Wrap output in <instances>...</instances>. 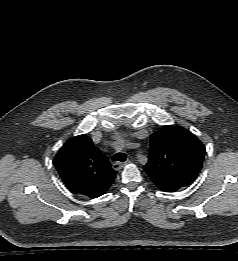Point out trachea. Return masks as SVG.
<instances>
[{"label":"trachea","instance_id":"3493384b","mask_svg":"<svg viewBox=\"0 0 238 261\" xmlns=\"http://www.w3.org/2000/svg\"><path fill=\"white\" fill-rule=\"evenodd\" d=\"M127 156L125 153H116L115 155H113L112 160L113 161H120V162H124L126 160Z\"/></svg>","mask_w":238,"mask_h":261}]
</instances>
